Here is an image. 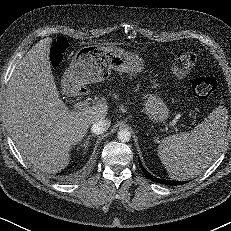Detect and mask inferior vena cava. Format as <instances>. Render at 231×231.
Masks as SVG:
<instances>
[{
    "label": "inferior vena cava",
    "instance_id": "602c4592",
    "mask_svg": "<svg viewBox=\"0 0 231 231\" xmlns=\"http://www.w3.org/2000/svg\"><path fill=\"white\" fill-rule=\"evenodd\" d=\"M110 124L111 122L108 119L99 120L92 125L91 131L96 135L103 134L105 131L108 130Z\"/></svg>",
    "mask_w": 231,
    "mask_h": 231
}]
</instances>
